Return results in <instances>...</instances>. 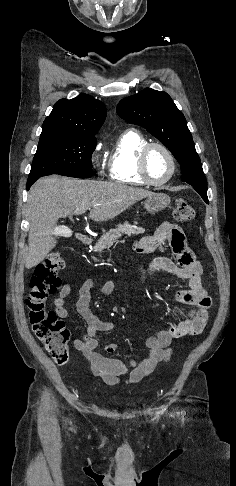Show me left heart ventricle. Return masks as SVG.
<instances>
[{
    "label": "left heart ventricle",
    "instance_id": "left-heart-ventricle-1",
    "mask_svg": "<svg viewBox=\"0 0 236 486\" xmlns=\"http://www.w3.org/2000/svg\"><path fill=\"white\" fill-rule=\"evenodd\" d=\"M171 170L168 156L159 148H152L147 156V171L149 176L160 181L166 178Z\"/></svg>",
    "mask_w": 236,
    "mask_h": 486
}]
</instances>
